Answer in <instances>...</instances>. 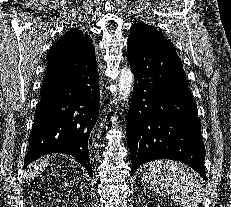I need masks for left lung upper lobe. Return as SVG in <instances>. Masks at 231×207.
<instances>
[{
    "label": "left lung upper lobe",
    "mask_w": 231,
    "mask_h": 207,
    "mask_svg": "<svg viewBox=\"0 0 231 207\" xmlns=\"http://www.w3.org/2000/svg\"><path fill=\"white\" fill-rule=\"evenodd\" d=\"M127 45L141 48L175 49L174 45L165 39L162 32L142 22L131 27Z\"/></svg>",
    "instance_id": "obj_1"
}]
</instances>
